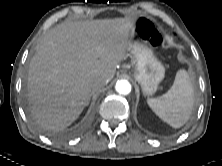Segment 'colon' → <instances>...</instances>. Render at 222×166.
<instances>
[{"label":"colon","instance_id":"5ec220e1","mask_svg":"<svg viewBox=\"0 0 222 166\" xmlns=\"http://www.w3.org/2000/svg\"><path fill=\"white\" fill-rule=\"evenodd\" d=\"M133 32L138 38L155 47H159L164 44L163 33L160 31L158 26L147 17H142L137 21Z\"/></svg>","mask_w":222,"mask_h":166}]
</instances>
